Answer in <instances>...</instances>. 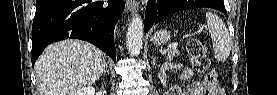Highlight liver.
Returning <instances> with one entry per match:
<instances>
[{
  "mask_svg": "<svg viewBox=\"0 0 277 95\" xmlns=\"http://www.w3.org/2000/svg\"><path fill=\"white\" fill-rule=\"evenodd\" d=\"M94 45L68 39L49 45L35 63L40 95H75L95 83L106 68Z\"/></svg>",
  "mask_w": 277,
  "mask_h": 95,
  "instance_id": "6515ba94",
  "label": "liver"
}]
</instances>
